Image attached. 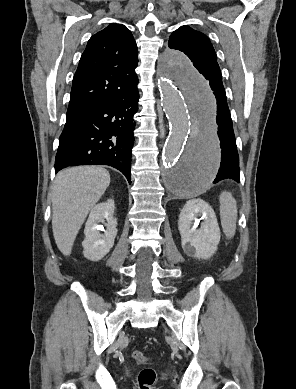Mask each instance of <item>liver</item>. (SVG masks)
I'll list each match as a JSON object with an SVG mask.
<instances>
[{"label":"liver","mask_w":296,"mask_h":389,"mask_svg":"<svg viewBox=\"0 0 296 389\" xmlns=\"http://www.w3.org/2000/svg\"><path fill=\"white\" fill-rule=\"evenodd\" d=\"M110 184L109 172L99 166H79L59 172L52 199V230L58 249L69 256L88 213Z\"/></svg>","instance_id":"6515ba94"}]
</instances>
